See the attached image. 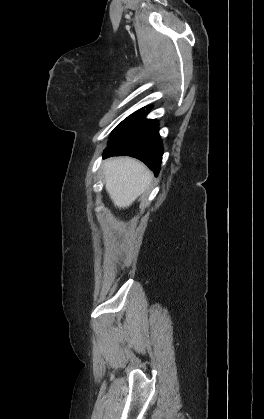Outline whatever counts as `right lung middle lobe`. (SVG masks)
Returning <instances> with one entry per match:
<instances>
[{"label": "right lung middle lobe", "instance_id": "dd1d6c3e", "mask_svg": "<svg viewBox=\"0 0 264 419\" xmlns=\"http://www.w3.org/2000/svg\"><path fill=\"white\" fill-rule=\"evenodd\" d=\"M144 108L134 112L132 115L127 117L125 120H123L112 132L111 140L112 142L119 136H121L124 132H126L132 125L135 123V121L139 118L141 113L143 112Z\"/></svg>", "mask_w": 264, "mask_h": 419}]
</instances>
